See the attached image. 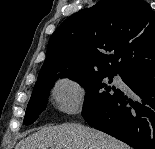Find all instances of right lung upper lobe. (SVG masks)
Masks as SVG:
<instances>
[{"label":"right lung upper lobe","instance_id":"cb5924a9","mask_svg":"<svg viewBox=\"0 0 155 149\" xmlns=\"http://www.w3.org/2000/svg\"><path fill=\"white\" fill-rule=\"evenodd\" d=\"M154 66L155 14L150 5L144 0H102L71 15L53 33L37 82L59 71L123 76Z\"/></svg>","mask_w":155,"mask_h":149}]
</instances>
